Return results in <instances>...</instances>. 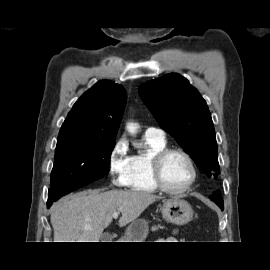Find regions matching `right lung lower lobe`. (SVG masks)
<instances>
[{"instance_id": "right-lung-lower-lobe-1", "label": "right lung lower lobe", "mask_w": 270, "mask_h": 270, "mask_svg": "<svg viewBox=\"0 0 270 270\" xmlns=\"http://www.w3.org/2000/svg\"><path fill=\"white\" fill-rule=\"evenodd\" d=\"M53 202H54V200H48L47 201V207L49 208L52 205Z\"/></svg>"}]
</instances>
